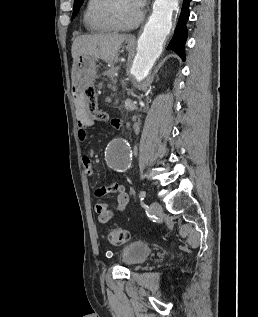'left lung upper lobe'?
<instances>
[{
    "mask_svg": "<svg viewBox=\"0 0 258 317\" xmlns=\"http://www.w3.org/2000/svg\"><path fill=\"white\" fill-rule=\"evenodd\" d=\"M83 1L84 0H75L74 1V10H73L72 18H74L76 16V14L78 13L79 8L81 7Z\"/></svg>",
    "mask_w": 258,
    "mask_h": 317,
    "instance_id": "5c2ea615",
    "label": "left lung upper lobe"
}]
</instances>
